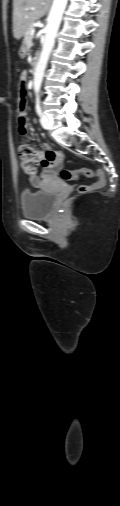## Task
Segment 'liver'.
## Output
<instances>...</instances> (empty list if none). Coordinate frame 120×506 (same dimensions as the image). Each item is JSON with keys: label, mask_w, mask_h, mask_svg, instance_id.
Here are the masks:
<instances>
[{"label": "liver", "mask_w": 120, "mask_h": 506, "mask_svg": "<svg viewBox=\"0 0 120 506\" xmlns=\"http://www.w3.org/2000/svg\"><path fill=\"white\" fill-rule=\"evenodd\" d=\"M49 3L50 0H13V35L16 39L25 34L33 21L45 15Z\"/></svg>", "instance_id": "obj_1"}]
</instances>
